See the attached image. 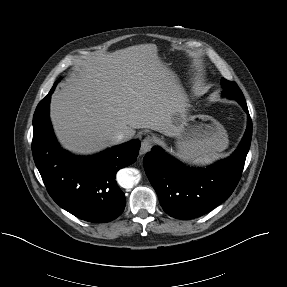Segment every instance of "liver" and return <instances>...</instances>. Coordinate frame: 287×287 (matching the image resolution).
<instances>
[{
  "label": "liver",
  "mask_w": 287,
  "mask_h": 287,
  "mask_svg": "<svg viewBox=\"0 0 287 287\" xmlns=\"http://www.w3.org/2000/svg\"><path fill=\"white\" fill-rule=\"evenodd\" d=\"M75 71L50 104L55 134L75 154L99 152L113 135L131 139L140 128L174 137L186 116L187 94L155 44L89 55Z\"/></svg>",
  "instance_id": "obj_1"
}]
</instances>
